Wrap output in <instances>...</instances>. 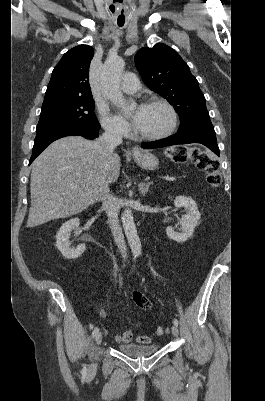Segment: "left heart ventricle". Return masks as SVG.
I'll return each instance as SVG.
<instances>
[{
	"mask_svg": "<svg viewBox=\"0 0 265 401\" xmlns=\"http://www.w3.org/2000/svg\"><path fill=\"white\" fill-rule=\"evenodd\" d=\"M169 121V113L160 105H147L141 120L137 124L139 135H150L159 132Z\"/></svg>",
	"mask_w": 265,
	"mask_h": 401,
	"instance_id": "1",
	"label": "left heart ventricle"
}]
</instances>
